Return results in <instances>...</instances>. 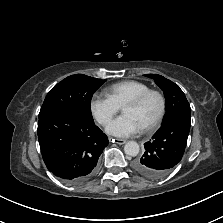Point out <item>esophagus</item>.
<instances>
[{
  "label": "esophagus",
  "mask_w": 223,
  "mask_h": 223,
  "mask_svg": "<svg viewBox=\"0 0 223 223\" xmlns=\"http://www.w3.org/2000/svg\"><path fill=\"white\" fill-rule=\"evenodd\" d=\"M110 140H111L112 142H116V143L119 144V145H122V144H125V143H126V140H124V139H111V138H110Z\"/></svg>",
  "instance_id": "obj_1"
}]
</instances>
